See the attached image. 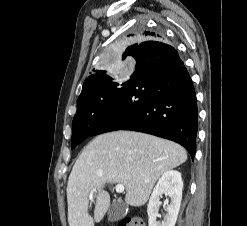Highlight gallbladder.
I'll return each mask as SVG.
<instances>
[{"mask_svg": "<svg viewBox=\"0 0 247 226\" xmlns=\"http://www.w3.org/2000/svg\"><path fill=\"white\" fill-rule=\"evenodd\" d=\"M127 205L123 201H114L109 212V221H117L126 214Z\"/></svg>", "mask_w": 247, "mask_h": 226, "instance_id": "obj_1", "label": "gallbladder"}]
</instances>
